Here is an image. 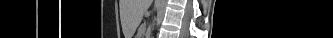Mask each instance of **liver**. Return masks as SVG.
<instances>
[{"label":"liver","instance_id":"6515ba94","mask_svg":"<svg viewBox=\"0 0 333 38\" xmlns=\"http://www.w3.org/2000/svg\"><path fill=\"white\" fill-rule=\"evenodd\" d=\"M152 0H135L133 2V24L137 26L142 17L144 12L149 8L151 5Z\"/></svg>","mask_w":333,"mask_h":38}]
</instances>
